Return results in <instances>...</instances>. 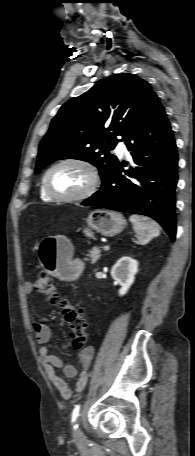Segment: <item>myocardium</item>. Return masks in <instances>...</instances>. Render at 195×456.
I'll return each mask as SVG.
<instances>
[{
  "mask_svg": "<svg viewBox=\"0 0 195 456\" xmlns=\"http://www.w3.org/2000/svg\"><path fill=\"white\" fill-rule=\"evenodd\" d=\"M65 164L80 165L88 171L89 176H90V182H89V185L87 186V188L83 192L76 194V195L63 196V195L56 194L50 188L49 181H48L49 175L55 168H57L61 165H65ZM99 183H100V177H99L97 168L88 160H85L82 158H75V157L65 158V159H62V160L56 162L50 168H48V170L45 172V174L42 178V186H43V189H44L45 193L47 194V196H49L52 200L59 201V202H77V201L86 200L96 192V190L99 186Z\"/></svg>",
  "mask_w": 195,
  "mask_h": 456,
  "instance_id": "myocardium-1",
  "label": "myocardium"
}]
</instances>
